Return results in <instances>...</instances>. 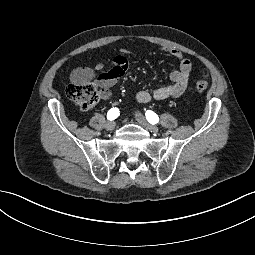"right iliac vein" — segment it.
<instances>
[{"mask_svg":"<svg viewBox=\"0 0 255 255\" xmlns=\"http://www.w3.org/2000/svg\"><path fill=\"white\" fill-rule=\"evenodd\" d=\"M116 126V123L114 121H109L106 123V129L108 131H112Z\"/></svg>","mask_w":255,"mask_h":255,"instance_id":"right-iliac-vein-1","label":"right iliac vein"}]
</instances>
